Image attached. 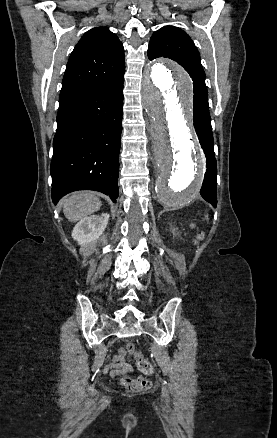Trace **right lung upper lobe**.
<instances>
[{"instance_id": "cb5924a9", "label": "right lung upper lobe", "mask_w": 277, "mask_h": 438, "mask_svg": "<svg viewBox=\"0 0 277 438\" xmlns=\"http://www.w3.org/2000/svg\"><path fill=\"white\" fill-rule=\"evenodd\" d=\"M124 71L122 42L106 27L91 29L70 55L59 101L114 80Z\"/></svg>"}]
</instances>
